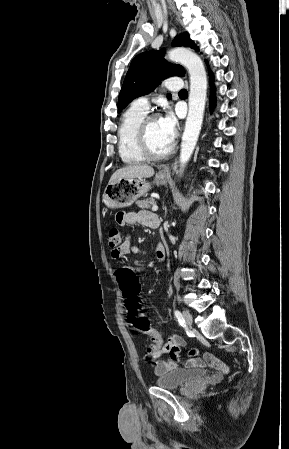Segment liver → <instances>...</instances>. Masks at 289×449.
Instances as JSON below:
<instances>
[{"label": "liver", "instance_id": "obj_1", "mask_svg": "<svg viewBox=\"0 0 289 449\" xmlns=\"http://www.w3.org/2000/svg\"><path fill=\"white\" fill-rule=\"evenodd\" d=\"M154 175V169L149 165H130L113 173L110 182L120 178H149Z\"/></svg>", "mask_w": 289, "mask_h": 449}]
</instances>
